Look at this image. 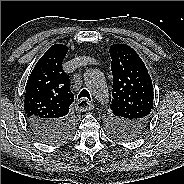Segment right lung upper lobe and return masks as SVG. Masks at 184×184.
Instances as JSON below:
<instances>
[{
    "mask_svg": "<svg viewBox=\"0 0 184 184\" xmlns=\"http://www.w3.org/2000/svg\"><path fill=\"white\" fill-rule=\"evenodd\" d=\"M67 52L66 45H52L36 63L26 85L24 110L28 120L57 122L70 116L74 94L69 75L62 69Z\"/></svg>",
    "mask_w": 184,
    "mask_h": 184,
    "instance_id": "obj_1",
    "label": "right lung upper lobe"
}]
</instances>
